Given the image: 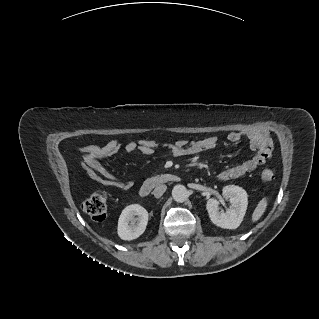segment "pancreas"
I'll list each match as a JSON object with an SVG mask.
<instances>
[{"mask_svg":"<svg viewBox=\"0 0 319 319\" xmlns=\"http://www.w3.org/2000/svg\"><path fill=\"white\" fill-rule=\"evenodd\" d=\"M153 179H154V181H156L157 183L161 181L160 175L154 176Z\"/></svg>","mask_w":319,"mask_h":319,"instance_id":"cf45deb5","label":"pancreas"}]
</instances>
